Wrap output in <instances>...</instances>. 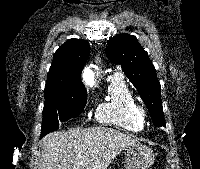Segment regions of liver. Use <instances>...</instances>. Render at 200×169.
Here are the masks:
<instances>
[{
    "label": "liver",
    "mask_w": 200,
    "mask_h": 169,
    "mask_svg": "<svg viewBox=\"0 0 200 169\" xmlns=\"http://www.w3.org/2000/svg\"><path fill=\"white\" fill-rule=\"evenodd\" d=\"M140 145L112 128L51 132L42 139L41 169H107L125 148Z\"/></svg>",
    "instance_id": "1"
}]
</instances>
